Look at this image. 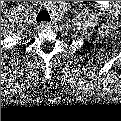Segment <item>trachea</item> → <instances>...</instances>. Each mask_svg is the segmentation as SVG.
Listing matches in <instances>:
<instances>
[{
    "label": "trachea",
    "instance_id": "3493384b",
    "mask_svg": "<svg viewBox=\"0 0 121 121\" xmlns=\"http://www.w3.org/2000/svg\"><path fill=\"white\" fill-rule=\"evenodd\" d=\"M42 21L46 22L50 21L49 13L46 10L40 11L39 14L37 15V22H42Z\"/></svg>",
    "mask_w": 121,
    "mask_h": 121
}]
</instances>
